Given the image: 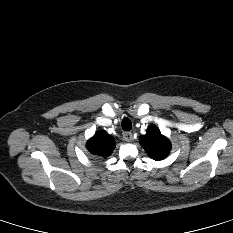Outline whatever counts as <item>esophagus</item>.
I'll return each instance as SVG.
<instances>
[{
	"label": "esophagus",
	"mask_w": 233,
	"mask_h": 233,
	"mask_svg": "<svg viewBox=\"0 0 233 233\" xmlns=\"http://www.w3.org/2000/svg\"><path fill=\"white\" fill-rule=\"evenodd\" d=\"M123 139L126 141V142H131L132 139H133V135L131 132H125L123 133Z\"/></svg>",
	"instance_id": "1"
}]
</instances>
